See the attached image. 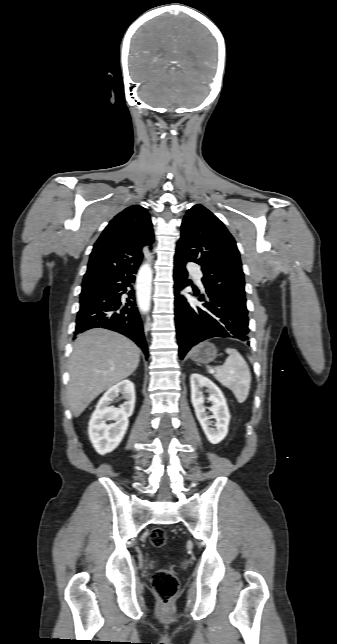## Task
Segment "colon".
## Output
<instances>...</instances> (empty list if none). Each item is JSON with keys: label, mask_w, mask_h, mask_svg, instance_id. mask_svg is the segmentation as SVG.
<instances>
[{"label": "colon", "mask_w": 337, "mask_h": 644, "mask_svg": "<svg viewBox=\"0 0 337 644\" xmlns=\"http://www.w3.org/2000/svg\"><path fill=\"white\" fill-rule=\"evenodd\" d=\"M150 542L154 547H162L166 542V533L160 527L154 528L150 532ZM153 588L160 601L168 605L179 588V581L171 569L162 568L157 570L152 577Z\"/></svg>", "instance_id": "colon-1"}]
</instances>
